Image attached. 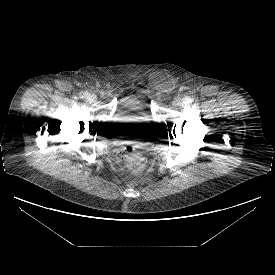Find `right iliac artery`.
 Masks as SVG:
<instances>
[{
  "label": "right iliac artery",
  "mask_w": 275,
  "mask_h": 275,
  "mask_svg": "<svg viewBox=\"0 0 275 275\" xmlns=\"http://www.w3.org/2000/svg\"><path fill=\"white\" fill-rule=\"evenodd\" d=\"M88 96V93L87 92H83L82 94H81V98H86Z\"/></svg>",
  "instance_id": "1"
}]
</instances>
